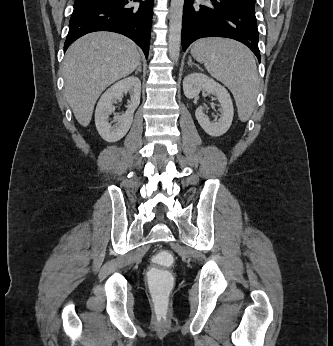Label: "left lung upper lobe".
<instances>
[{
	"label": "left lung upper lobe",
	"mask_w": 333,
	"mask_h": 346,
	"mask_svg": "<svg viewBox=\"0 0 333 346\" xmlns=\"http://www.w3.org/2000/svg\"><path fill=\"white\" fill-rule=\"evenodd\" d=\"M238 1L255 8L256 0H238Z\"/></svg>",
	"instance_id": "obj_1"
}]
</instances>
